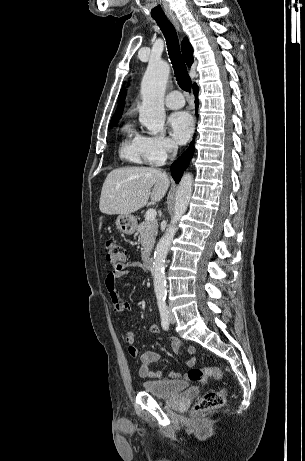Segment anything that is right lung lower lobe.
Returning <instances> with one entry per match:
<instances>
[{
    "mask_svg": "<svg viewBox=\"0 0 305 461\" xmlns=\"http://www.w3.org/2000/svg\"><path fill=\"white\" fill-rule=\"evenodd\" d=\"M193 92L196 96L195 106L198 109V87L196 84L193 86ZM194 153V143L192 142L189 148L171 165V174L176 183H179L184 170L188 167L189 162Z\"/></svg>",
    "mask_w": 305,
    "mask_h": 461,
    "instance_id": "98d812e1",
    "label": "right lung lower lobe"
}]
</instances>
